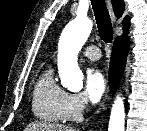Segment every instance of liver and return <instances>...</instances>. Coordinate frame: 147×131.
Instances as JSON below:
<instances>
[{
	"instance_id": "6515ba94",
	"label": "liver",
	"mask_w": 147,
	"mask_h": 131,
	"mask_svg": "<svg viewBox=\"0 0 147 131\" xmlns=\"http://www.w3.org/2000/svg\"><path fill=\"white\" fill-rule=\"evenodd\" d=\"M24 131H76L72 127L47 122H33L27 125Z\"/></svg>"
}]
</instances>
